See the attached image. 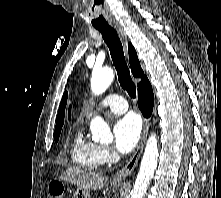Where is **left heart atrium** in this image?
<instances>
[{"instance_id": "obj_1", "label": "left heart atrium", "mask_w": 221, "mask_h": 198, "mask_svg": "<svg viewBox=\"0 0 221 198\" xmlns=\"http://www.w3.org/2000/svg\"><path fill=\"white\" fill-rule=\"evenodd\" d=\"M113 133L117 150L128 153L139 141L141 122L136 115H127L116 122Z\"/></svg>"}]
</instances>
